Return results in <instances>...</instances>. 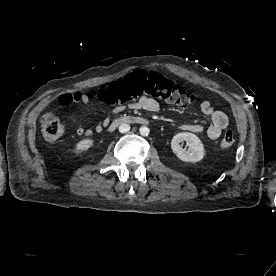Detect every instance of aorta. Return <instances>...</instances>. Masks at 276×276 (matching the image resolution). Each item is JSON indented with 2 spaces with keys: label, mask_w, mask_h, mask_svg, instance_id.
Listing matches in <instances>:
<instances>
[{
  "label": "aorta",
  "mask_w": 276,
  "mask_h": 276,
  "mask_svg": "<svg viewBox=\"0 0 276 276\" xmlns=\"http://www.w3.org/2000/svg\"><path fill=\"white\" fill-rule=\"evenodd\" d=\"M139 132L142 136H148L150 133V130L148 127L142 126V127H140Z\"/></svg>",
  "instance_id": "obj_1"
}]
</instances>
